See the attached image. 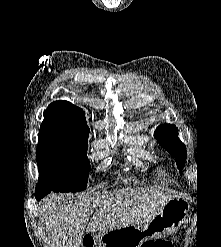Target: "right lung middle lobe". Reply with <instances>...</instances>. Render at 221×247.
<instances>
[{"instance_id":"dd1d6c3e","label":"right lung middle lobe","mask_w":221,"mask_h":247,"mask_svg":"<svg viewBox=\"0 0 221 247\" xmlns=\"http://www.w3.org/2000/svg\"><path fill=\"white\" fill-rule=\"evenodd\" d=\"M87 137L40 130L36 150L38 186L53 192H78L87 187L91 170Z\"/></svg>"}]
</instances>
